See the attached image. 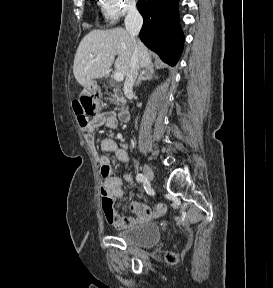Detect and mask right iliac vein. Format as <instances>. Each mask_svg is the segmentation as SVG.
<instances>
[{"label":"right iliac vein","instance_id":"63e3f726","mask_svg":"<svg viewBox=\"0 0 273 288\" xmlns=\"http://www.w3.org/2000/svg\"><path fill=\"white\" fill-rule=\"evenodd\" d=\"M142 169H143V173H144L145 177L148 180H152L154 178L153 170L151 169V167L149 165L144 164Z\"/></svg>","mask_w":273,"mask_h":288}]
</instances>
